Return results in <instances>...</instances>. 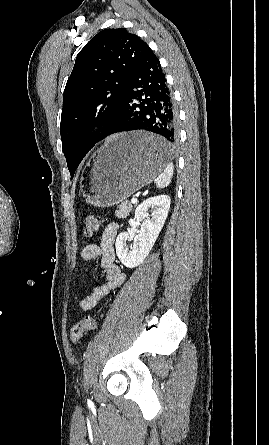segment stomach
I'll list each match as a JSON object with an SVG mask.
<instances>
[{
  "label": "stomach",
  "instance_id": "stomach-1",
  "mask_svg": "<svg viewBox=\"0 0 269 445\" xmlns=\"http://www.w3.org/2000/svg\"><path fill=\"white\" fill-rule=\"evenodd\" d=\"M160 145V150L153 146ZM171 160L165 142L150 133L133 131L110 137L92 156L80 180L88 204L109 207L150 184Z\"/></svg>",
  "mask_w": 269,
  "mask_h": 445
}]
</instances>
